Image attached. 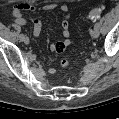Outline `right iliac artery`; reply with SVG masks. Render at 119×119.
<instances>
[{
  "label": "right iliac artery",
  "instance_id": "right-iliac-artery-1",
  "mask_svg": "<svg viewBox=\"0 0 119 119\" xmlns=\"http://www.w3.org/2000/svg\"><path fill=\"white\" fill-rule=\"evenodd\" d=\"M19 38H20V40H23L24 34H20Z\"/></svg>",
  "mask_w": 119,
  "mask_h": 119
}]
</instances>
